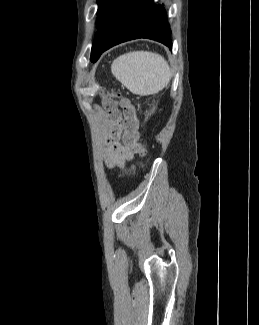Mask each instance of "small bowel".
<instances>
[{
    "label": "small bowel",
    "mask_w": 259,
    "mask_h": 325,
    "mask_svg": "<svg viewBox=\"0 0 259 325\" xmlns=\"http://www.w3.org/2000/svg\"><path fill=\"white\" fill-rule=\"evenodd\" d=\"M117 114V111L115 112ZM118 122V121H116ZM120 128L113 129L110 150L107 153L106 164L109 167H114L123 164L126 160L133 158L135 152L128 148L123 141L119 140Z\"/></svg>",
    "instance_id": "1"
}]
</instances>
